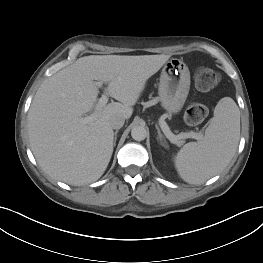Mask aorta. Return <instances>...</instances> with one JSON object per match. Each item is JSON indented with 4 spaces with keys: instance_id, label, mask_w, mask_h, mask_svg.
Segmentation results:
<instances>
[{
    "instance_id": "762f6f07",
    "label": "aorta",
    "mask_w": 263,
    "mask_h": 263,
    "mask_svg": "<svg viewBox=\"0 0 263 263\" xmlns=\"http://www.w3.org/2000/svg\"><path fill=\"white\" fill-rule=\"evenodd\" d=\"M131 136L136 141H142L147 136V130L143 126H134L131 130Z\"/></svg>"
}]
</instances>
